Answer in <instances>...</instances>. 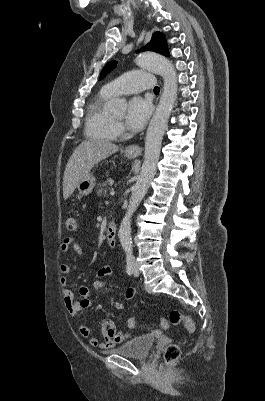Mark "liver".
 <instances>
[{"mask_svg": "<svg viewBox=\"0 0 265 401\" xmlns=\"http://www.w3.org/2000/svg\"><path fill=\"white\" fill-rule=\"evenodd\" d=\"M117 144L109 140H83L70 156L63 176V198L73 194L78 182L90 172L94 164L114 154Z\"/></svg>", "mask_w": 265, "mask_h": 401, "instance_id": "6515ba94", "label": "liver"}]
</instances>
